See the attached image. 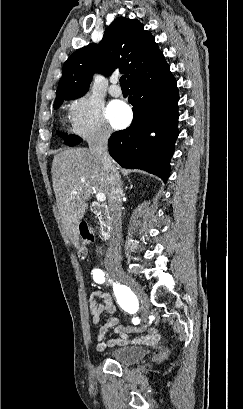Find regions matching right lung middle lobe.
<instances>
[{"instance_id": "dd1d6c3e", "label": "right lung middle lobe", "mask_w": 243, "mask_h": 409, "mask_svg": "<svg viewBox=\"0 0 243 409\" xmlns=\"http://www.w3.org/2000/svg\"><path fill=\"white\" fill-rule=\"evenodd\" d=\"M64 99L65 98L61 99L58 102H55L54 103V109H57L62 104ZM81 141H82V139L80 137L75 136V135L74 136H67L65 138V144H67L69 146H75V145L79 144Z\"/></svg>"}]
</instances>
